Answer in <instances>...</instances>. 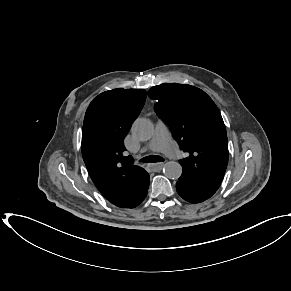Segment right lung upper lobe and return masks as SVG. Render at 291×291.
Listing matches in <instances>:
<instances>
[{"label": "right lung upper lobe", "mask_w": 291, "mask_h": 291, "mask_svg": "<svg viewBox=\"0 0 291 291\" xmlns=\"http://www.w3.org/2000/svg\"><path fill=\"white\" fill-rule=\"evenodd\" d=\"M146 91L113 89L99 94L87 108L82 130V156L100 193L111 203L140 197L149 175L124 156L123 139L139 115Z\"/></svg>", "instance_id": "obj_1"}]
</instances>
